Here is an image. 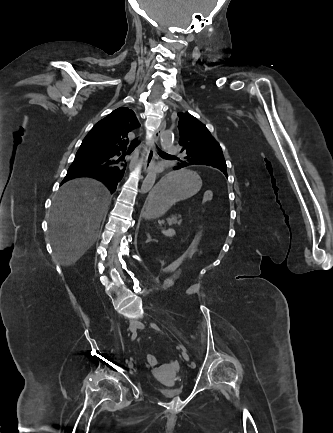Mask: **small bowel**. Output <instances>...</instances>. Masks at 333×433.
Here are the masks:
<instances>
[{
  "label": "small bowel",
  "mask_w": 333,
  "mask_h": 433,
  "mask_svg": "<svg viewBox=\"0 0 333 433\" xmlns=\"http://www.w3.org/2000/svg\"><path fill=\"white\" fill-rule=\"evenodd\" d=\"M199 253H200V250H199ZM182 269L183 268H178L177 267L176 271L171 272V275H168V274L166 275V277H165V279L163 281V288L164 289H169V288H171L176 283L177 279L181 275ZM200 291H201V285L200 284H195V285L190 286L187 289L186 294L189 295V296L197 295V294L200 293ZM152 373L154 375H157V369H153Z\"/></svg>",
  "instance_id": "c3829d8e"
}]
</instances>
